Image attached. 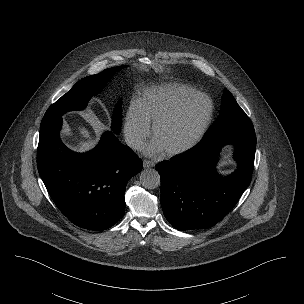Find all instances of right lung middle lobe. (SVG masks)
I'll list each match as a JSON object with an SVG mask.
<instances>
[{
	"instance_id": "right-lung-middle-lobe-1",
	"label": "right lung middle lobe",
	"mask_w": 304,
	"mask_h": 304,
	"mask_svg": "<svg viewBox=\"0 0 304 304\" xmlns=\"http://www.w3.org/2000/svg\"><path fill=\"white\" fill-rule=\"evenodd\" d=\"M124 67L125 66L108 68L99 74L83 78L77 82L70 91L48 108L43 119L62 116V114L70 110L83 109L88 100L106 85L107 80L111 78L112 74ZM120 128L121 102L119 101L115 108L112 129L118 134Z\"/></svg>"
}]
</instances>
